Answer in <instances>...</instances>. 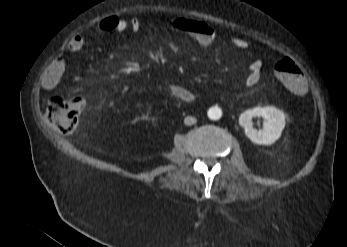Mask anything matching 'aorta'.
Segmentation results:
<instances>
[{"label":"aorta","mask_w":347,"mask_h":247,"mask_svg":"<svg viewBox=\"0 0 347 247\" xmlns=\"http://www.w3.org/2000/svg\"><path fill=\"white\" fill-rule=\"evenodd\" d=\"M222 116V112L220 109L216 108H211L208 111V117L212 120H219Z\"/></svg>","instance_id":"762f6f07"}]
</instances>
